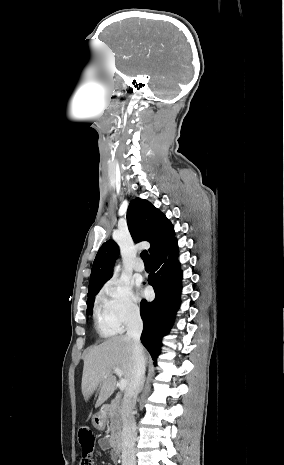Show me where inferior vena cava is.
<instances>
[{
  "mask_svg": "<svg viewBox=\"0 0 284 465\" xmlns=\"http://www.w3.org/2000/svg\"><path fill=\"white\" fill-rule=\"evenodd\" d=\"M143 323L140 315L132 313L127 323V337L133 341V371L131 383H129L124 395L121 419H122V465H136L135 457V437L136 423L134 419V409L137 397L143 387L145 375V359L140 337Z\"/></svg>",
  "mask_w": 284,
  "mask_h": 465,
  "instance_id": "1",
  "label": "inferior vena cava"
}]
</instances>
